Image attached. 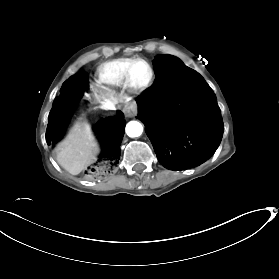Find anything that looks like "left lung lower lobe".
Returning a JSON list of instances; mask_svg holds the SVG:
<instances>
[{"label": "left lung lower lobe", "instance_id": "1", "mask_svg": "<svg viewBox=\"0 0 279 279\" xmlns=\"http://www.w3.org/2000/svg\"><path fill=\"white\" fill-rule=\"evenodd\" d=\"M157 79L175 80L158 95L145 90L137 97L139 117L158 161L169 170L199 166L218 148L223 122L215 95L200 74L164 61L154 68Z\"/></svg>", "mask_w": 279, "mask_h": 279}]
</instances>
